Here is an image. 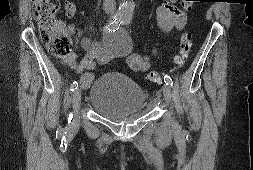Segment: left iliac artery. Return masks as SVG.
Returning <instances> with one entry per match:
<instances>
[{
  "label": "left iliac artery",
  "instance_id": "1",
  "mask_svg": "<svg viewBox=\"0 0 253 170\" xmlns=\"http://www.w3.org/2000/svg\"><path fill=\"white\" fill-rule=\"evenodd\" d=\"M131 20H132V14H127V15H125V16L122 18V24H123V25H128V24H130ZM164 81H165L166 85H168V86H170V87L173 86V81H172V79L170 78V76L165 75Z\"/></svg>",
  "mask_w": 253,
  "mask_h": 170
}]
</instances>
